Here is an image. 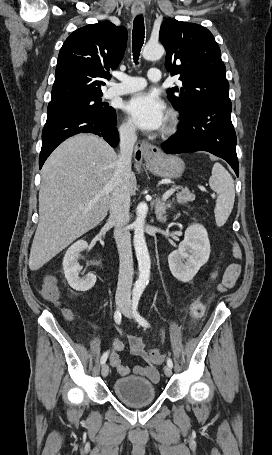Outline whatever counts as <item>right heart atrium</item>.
I'll return each instance as SVG.
<instances>
[{
    "instance_id": "right-heart-atrium-1",
    "label": "right heart atrium",
    "mask_w": 272,
    "mask_h": 455,
    "mask_svg": "<svg viewBox=\"0 0 272 455\" xmlns=\"http://www.w3.org/2000/svg\"><path fill=\"white\" fill-rule=\"evenodd\" d=\"M120 134L125 140H134L136 137V130L134 125L130 121L125 120L120 126Z\"/></svg>"
}]
</instances>
